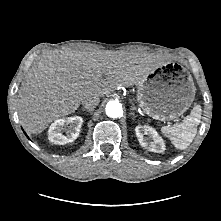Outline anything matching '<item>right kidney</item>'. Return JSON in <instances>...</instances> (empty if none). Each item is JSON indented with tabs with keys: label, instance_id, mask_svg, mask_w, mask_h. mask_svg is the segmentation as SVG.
Listing matches in <instances>:
<instances>
[{
	"label": "right kidney",
	"instance_id": "1",
	"mask_svg": "<svg viewBox=\"0 0 221 221\" xmlns=\"http://www.w3.org/2000/svg\"><path fill=\"white\" fill-rule=\"evenodd\" d=\"M83 124V118L80 116L67 117L55 120L49 127V140L54 144L64 145L73 142L80 133ZM65 125H69L67 134L63 135L62 131Z\"/></svg>",
	"mask_w": 221,
	"mask_h": 221
}]
</instances>
